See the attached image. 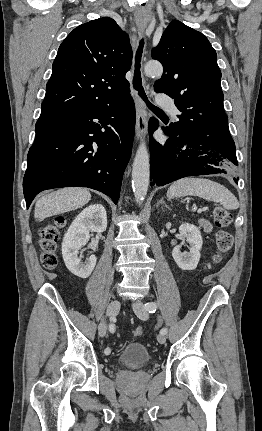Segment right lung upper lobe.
I'll return each instance as SVG.
<instances>
[{
    "label": "right lung upper lobe",
    "instance_id": "cb5924a9",
    "mask_svg": "<svg viewBox=\"0 0 262 431\" xmlns=\"http://www.w3.org/2000/svg\"><path fill=\"white\" fill-rule=\"evenodd\" d=\"M132 63L128 35L111 18L75 28L53 63L41 113L96 111L129 94L125 74Z\"/></svg>",
    "mask_w": 262,
    "mask_h": 431
}]
</instances>
